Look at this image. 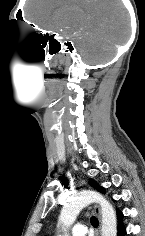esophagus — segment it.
<instances>
[{
    "label": "esophagus",
    "mask_w": 145,
    "mask_h": 236,
    "mask_svg": "<svg viewBox=\"0 0 145 236\" xmlns=\"http://www.w3.org/2000/svg\"><path fill=\"white\" fill-rule=\"evenodd\" d=\"M94 211L98 215L99 221H101V210L97 204L94 205Z\"/></svg>",
    "instance_id": "1"
}]
</instances>
